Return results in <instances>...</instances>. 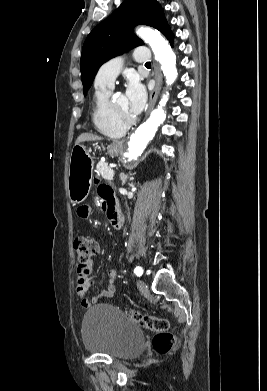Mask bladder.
Wrapping results in <instances>:
<instances>
[{
    "mask_svg": "<svg viewBox=\"0 0 267 391\" xmlns=\"http://www.w3.org/2000/svg\"><path fill=\"white\" fill-rule=\"evenodd\" d=\"M144 340L141 328L114 307L97 305L83 318L82 341L89 353L130 359L143 351Z\"/></svg>",
    "mask_w": 267,
    "mask_h": 391,
    "instance_id": "bladder-1",
    "label": "bladder"
}]
</instances>
